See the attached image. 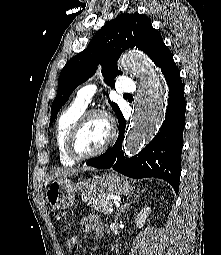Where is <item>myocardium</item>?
<instances>
[{
	"label": "myocardium",
	"mask_w": 221,
	"mask_h": 255,
	"mask_svg": "<svg viewBox=\"0 0 221 255\" xmlns=\"http://www.w3.org/2000/svg\"><path fill=\"white\" fill-rule=\"evenodd\" d=\"M92 117H100L104 120V122L107 125L108 134L107 138L104 142V144L97 149L94 152L88 153V154H81L77 150V140L78 136L83 128V126L90 120ZM116 137V129L113 124V121L108 113L102 110L98 109H91L88 111H85L79 119L75 122V124L72 126L66 142V151L70 158H72L74 161L80 162L88 159L95 158L97 156H100L103 154L113 143L114 139Z\"/></svg>",
	"instance_id": "obj_1"
}]
</instances>
